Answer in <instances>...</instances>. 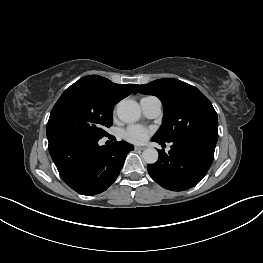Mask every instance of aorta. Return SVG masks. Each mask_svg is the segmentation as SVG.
Instances as JSON below:
<instances>
[{
	"label": "aorta",
	"instance_id": "aorta-1",
	"mask_svg": "<svg viewBox=\"0 0 263 263\" xmlns=\"http://www.w3.org/2000/svg\"><path fill=\"white\" fill-rule=\"evenodd\" d=\"M117 115L125 123L136 122L141 115L139 104L130 99L122 100L117 106ZM158 152L155 148H147L142 153V158L147 164H154L158 160Z\"/></svg>",
	"mask_w": 263,
	"mask_h": 263
}]
</instances>
